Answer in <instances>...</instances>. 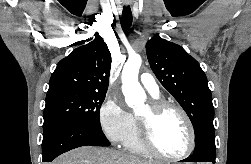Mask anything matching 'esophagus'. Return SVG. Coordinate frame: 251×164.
<instances>
[{
	"label": "esophagus",
	"mask_w": 251,
	"mask_h": 164,
	"mask_svg": "<svg viewBox=\"0 0 251 164\" xmlns=\"http://www.w3.org/2000/svg\"><path fill=\"white\" fill-rule=\"evenodd\" d=\"M127 2H126V4H128L129 2H128V0H126Z\"/></svg>",
	"instance_id": "1"
}]
</instances>
